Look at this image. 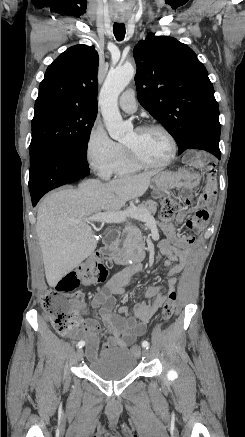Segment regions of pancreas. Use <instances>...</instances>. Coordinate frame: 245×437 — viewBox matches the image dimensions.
Wrapping results in <instances>:
<instances>
[{
  "instance_id": "obj_1",
  "label": "pancreas",
  "mask_w": 245,
  "mask_h": 437,
  "mask_svg": "<svg viewBox=\"0 0 245 437\" xmlns=\"http://www.w3.org/2000/svg\"><path fill=\"white\" fill-rule=\"evenodd\" d=\"M139 217H144L146 214L153 215L156 213L157 203L152 200H147L139 206L135 207ZM140 220V218H135ZM121 238H117L115 245L122 244L124 247L137 246L142 243V231L136 226L127 223L123 227V231H119Z\"/></svg>"
}]
</instances>
